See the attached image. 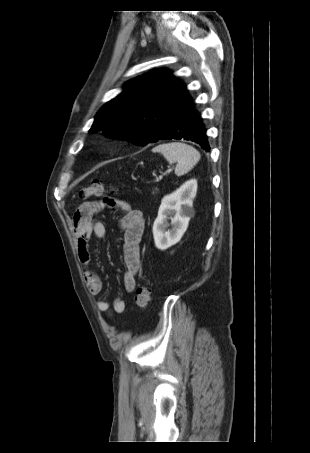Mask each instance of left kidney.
Instances as JSON below:
<instances>
[{
  "instance_id": "obj_1",
  "label": "left kidney",
  "mask_w": 310,
  "mask_h": 453,
  "mask_svg": "<svg viewBox=\"0 0 310 453\" xmlns=\"http://www.w3.org/2000/svg\"><path fill=\"white\" fill-rule=\"evenodd\" d=\"M197 192V180L191 179L176 191L165 196L153 224V237L156 248L166 250L178 243L187 230L190 218L194 215L193 199ZM168 219L171 220L172 228Z\"/></svg>"
}]
</instances>
